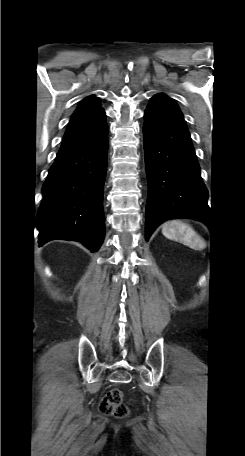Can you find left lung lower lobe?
<instances>
[{
    "label": "left lung lower lobe",
    "mask_w": 245,
    "mask_h": 456,
    "mask_svg": "<svg viewBox=\"0 0 245 456\" xmlns=\"http://www.w3.org/2000/svg\"><path fill=\"white\" fill-rule=\"evenodd\" d=\"M143 144L148 198L145 236L148 241L164 221H205L208 191L201 178L183 114L171 99L154 96L144 114Z\"/></svg>",
    "instance_id": "1"
}]
</instances>
